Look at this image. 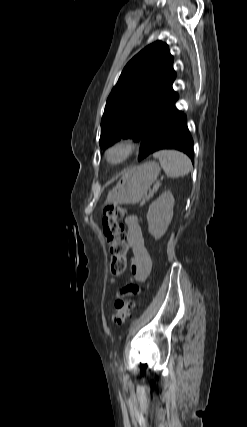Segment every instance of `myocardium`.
<instances>
[{
  "label": "myocardium",
  "mask_w": 247,
  "mask_h": 427,
  "mask_svg": "<svg viewBox=\"0 0 247 427\" xmlns=\"http://www.w3.org/2000/svg\"><path fill=\"white\" fill-rule=\"evenodd\" d=\"M135 144L130 138H123L110 145L104 154L105 161L112 166L121 165L134 153Z\"/></svg>",
  "instance_id": "f54148a6"
}]
</instances>
